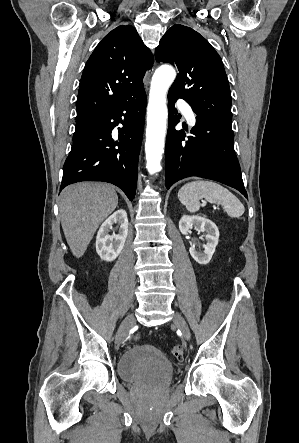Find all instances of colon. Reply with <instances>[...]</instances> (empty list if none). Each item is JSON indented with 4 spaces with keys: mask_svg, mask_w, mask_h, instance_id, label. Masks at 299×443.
<instances>
[{
    "mask_svg": "<svg viewBox=\"0 0 299 443\" xmlns=\"http://www.w3.org/2000/svg\"><path fill=\"white\" fill-rule=\"evenodd\" d=\"M184 353L183 347L181 345H175L172 348V354L176 357V358H182Z\"/></svg>",
    "mask_w": 299,
    "mask_h": 443,
    "instance_id": "5ec220e1",
    "label": "colon"
}]
</instances>
